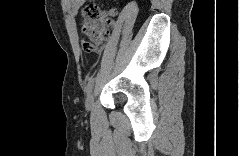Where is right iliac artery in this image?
Returning <instances> with one entry per match:
<instances>
[{
  "label": "right iliac artery",
  "mask_w": 239,
  "mask_h": 156,
  "mask_svg": "<svg viewBox=\"0 0 239 156\" xmlns=\"http://www.w3.org/2000/svg\"><path fill=\"white\" fill-rule=\"evenodd\" d=\"M93 85H94V78L91 79V80L88 82V84H87V87H86V92H87V94L90 93V91L92 90Z\"/></svg>",
  "instance_id": "right-iliac-artery-1"
}]
</instances>
